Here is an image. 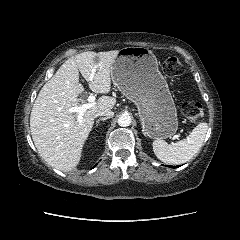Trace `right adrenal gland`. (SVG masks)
Listing matches in <instances>:
<instances>
[{
  "label": "right adrenal gland",
  "mask_w": 240,
  "mask_h": 240,
  "mask_svg": "<svg viewBox=\"0 0 240 240\" xmlns=\"http://www.w3.org/2000/svg\"><path fill=\"white\" fill-rule=\"evenodd\" d=\"M107 119H108V117L99 118V119L96 121V126H98V124H99L100 121H106Z\"/></svg>",
  "instance_id": "obj_1"
}]
</instances>
